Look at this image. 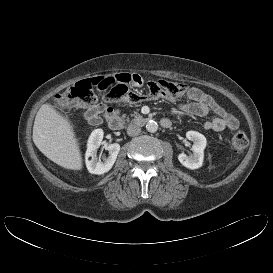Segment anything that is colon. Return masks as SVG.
<instances>
[{
	"label": "colon",
	"mask_w": 273,
	"mask_h": 273,
	"mask_svg": "<svg viewBox=\"0 0 273 273\" xmlns=\"http://www.w3.org/2000/svg\"><path fill=\"white\" fill-rule=\"evenodd\" d=\"M139 76L120 73L111 76H98L76 82L56 97L55 105L60 110L73 107L90 106L95 103L97 91H106L105 99L109 102L127 101L137 103L143 99H175L187 91L184 83L153 80L147 84V94L141 96L129 90V85L137 83ZM232 147L240 152L248 146L245 133L237 132L232 137Z\"/></svg>",
	"instance_id": "5ec220e1"
}]
</instances>
